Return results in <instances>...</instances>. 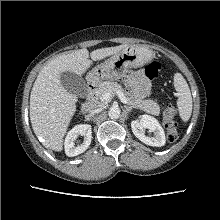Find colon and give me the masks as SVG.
<instances>
[{"label": "colon", "mask_w": 220, "mask_h": 220, "mask_svg": "<svg viewBox=\"0 0 220 220\" xmlns=\"http://www.w3.org/2000/svg\"><path fill=\"white\" fill-rule=\"evenodd\" d=\"M160 65L157 62L150 63L145 73L149 79H154L159 75ZM163 125L167 130V140L169 142H175L178 137L176 129V109L174 107H168L163 113Z\"/></svg>", "instance_id": "1"}]
</instances>
